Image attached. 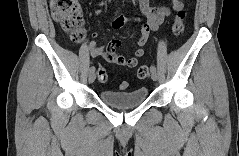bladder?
I'll return each mask as SVG.
<instances>
[{"label": "bladder", "instance_id": "obj_1", "mask_svg": "<svg viewBox=\"0 0 239 156\" xmlns=\"http://www.w3.org/2000/svg\"><path fill=\"white\" fill-rule=\"evenodd\" d=\"M148 97V89L139 87L132 91L120 92L104 89L100 92V99L106 105L118 109L128 110L141 105Z\"/></svg>", "mask_w": 239, "mask_h": 156}]
</instances>
